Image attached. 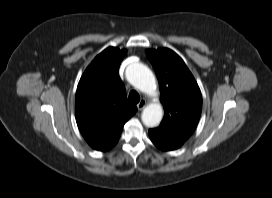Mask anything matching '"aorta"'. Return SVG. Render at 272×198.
Wrapping results in <instances>:
<instances>
[{
  "mask_svg": "<svg viewBox=\"0 0 272 198\" xmlns=\"http://www.w3.org/2000/svg\"><path fill=\"white\" fill-rule=\"evenodd\" d=\"M127 80L137 89L146 94H155L156 80L152 71L141 63L130 64L126 69ZM163 118V108L160 103L147 105L142 112V122L147 127H156Z\"/></svg>",
  "mask_w": 272,
  "mask_h": 198,
  "instance_id": "1",
  "label": "aorta"
}]
</instances>
